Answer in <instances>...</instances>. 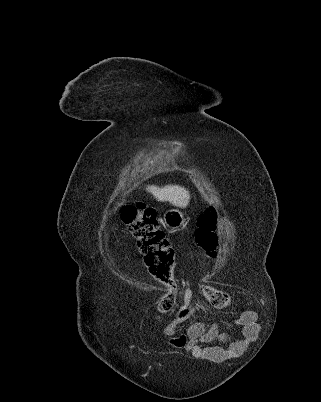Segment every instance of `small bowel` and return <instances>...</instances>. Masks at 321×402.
Wrapping results in <instances>:
<instances>
[{
	"label": "small bowel",
	"mask_w": 321,
	"mask_h": 402,
	"mask_svg": "<svg viewBox=\"0 0 321 402\" xmlns=\"http://www.w3.org/2000/svg\"><path fill=\"white\" fill-rule=\"evenodd\" d=\"M193 306L182 309L166 327V335L171 337V342L176 347H186L189 358H207L211 360H222L232 357L243 358L245 350L250 342L258 336L257 329L260 328L259 320H252L254 312L249 311L240 315L239 320L234 322L236 329H245L243 338H236L233 343H226L218 336L214 325L207 326L204 323L193 322L187 325L195 313ZM187 325V326H186ZM186 326V332H177Z\"/></svg>",
	"instance_id": "c3829d8e"
}]
</instances>
